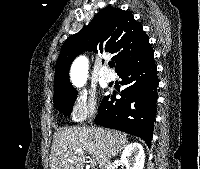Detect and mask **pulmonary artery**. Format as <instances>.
<instances>
[{
  "mask_svg": "<svg viewBox=\"0 0 200 169\" xmlns=\"http://www.w3.org/2000/svg\"><path fill=\"white\" fill-rule=\"evenodd\" d=\"M101 78L104 82H112L115 76L109 69L106 68L102 71Z\"/></svg>",
  "mask_w": 200,
  "mask_h": 169,
  "instance_id": "pulmonary-artery-1",
  "label": "pulmonary artery"
}]
</instances>
